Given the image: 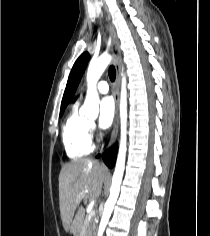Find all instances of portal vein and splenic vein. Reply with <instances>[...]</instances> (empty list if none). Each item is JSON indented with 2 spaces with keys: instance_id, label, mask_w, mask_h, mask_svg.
Instances as JSON below:
<instances>
[{
  "instance_id": "1",
  "label": "portal vein and splenic vein",
  "mask_w": 210,
  "mask_h": 236,
  "mask_svg": "<svg viewBox=\"0 0 210 236\" xmlns=\"http://www.w3.org/2000/svg\"><path fill=\"white\" fill-rule=\"evenodd\" d=\"M78 198H81V197L79 196ZM89 214H90V215H89V218L91 219V217H93V216L95 215V211L92 210Z\"/></svg>"
}]
</instances>
